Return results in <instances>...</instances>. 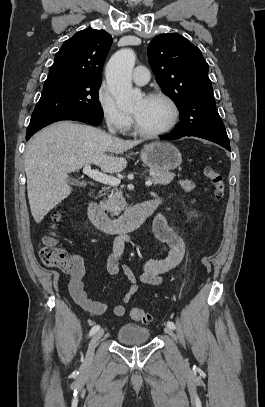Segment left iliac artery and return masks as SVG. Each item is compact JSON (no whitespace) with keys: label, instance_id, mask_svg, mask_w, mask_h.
Returning <instances> with one entry per match:
<instances>
[{"label":"left iliac artery","instance_id":"44dca946","mask_svg":"<svg viewBox=\"0 0 265 407\" xmlns=\"http://www.w3.org/2000/svg\"><path fill=\"white\" fill-rule=\"evenodd\" d=\"M167 326L170 327L171 329H175V324L172 321H168Z\"/></svg>","mask_w":265,"mask_h":407}]
</instances>
